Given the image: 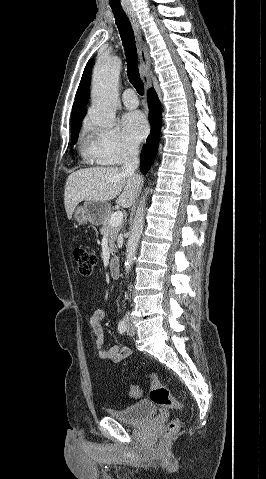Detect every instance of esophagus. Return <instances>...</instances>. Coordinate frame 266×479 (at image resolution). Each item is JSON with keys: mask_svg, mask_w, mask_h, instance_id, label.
<instances>
[{"mask_svg": "<svg viewBox=\"0 0 266 479\" xmlns=\"http://www.w3.org/2000/svg\"><path fill=\"white\" fill-rule=\"evenodd\" d=\"M125 11L131 21L133 30L137 38L138 54H139V60H140V75L144 83L145 89L148 90L151 87V80L147 73L150 66V57H149L148 49L142 39V31H141V27H140L139 20L136 13L132 9H126Z\"/></svg>", "mask_w": 266, "mask_h": 479, "instance_id": "1", "label": "esophagus"}]
</instances>
